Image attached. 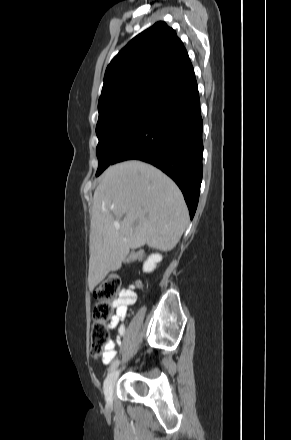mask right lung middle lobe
Here are the masks:
<instances>
[{
	"label": "right lung middle lobe",
	"instance_id": "obj_1",
	"mask_svg": "<svg viewBox=\"0 0 291 440\" xmlns=\"http://www.w3.org/2000/svg\"><path fill=\"white\" fill-rule=\"evenodd\" d=\"M153 96H138L128 100L113 102L98 108L99 118L96 134L99 143L96 148L99 160L96 176H99L138 127L153 100Z\"/></svg>",
	"mask_w": 291,
	"mask_h": 440
}]
</instances>
